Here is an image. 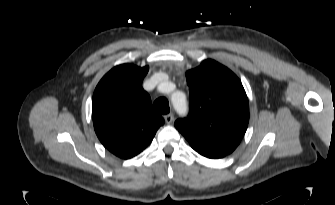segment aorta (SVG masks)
Wrapping results in <instances>:
<instances>
[{"label": "aorta", "instance_id": "762f6f07", "mask_svg": "<svg viewBox=\"0 0 335 205\" xmlns=\"http://www.w3.org/2000/svg\"><path fill=\"white\" fill-rule=\"evenodd\" d=\"M178 95L180 96V99H176V97L173 96L172 103L176 111L181 114L186 111L187 105H186L185 95L182 93H178Z\"/></svg>", "mask_w": 335, "mask_h": 205}]
</instances>
